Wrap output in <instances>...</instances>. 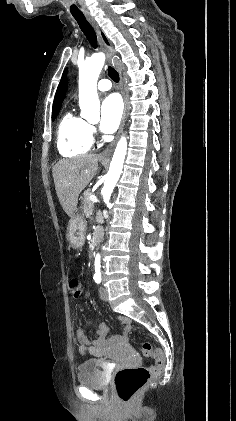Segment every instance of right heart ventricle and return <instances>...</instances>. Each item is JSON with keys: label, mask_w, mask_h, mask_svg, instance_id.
I'll use <instances>...</instances> for the list:
<instances>
[{"label": "right heart ventricle", "mask_w": 236, "mask_h": 421, "mask_svg": "<svg viewBox=\"0 0 236 421\" xmlns=\"http://www.w3.org/2000/svg\"><path fill=\"white\" fill-rule=\"evenodd\" d=\"M93 146L91 126L88 121L72 112L61 118L57 129V148L66 158H79Z\"/></svg>", "instance_id": "1"}]
</instances>
